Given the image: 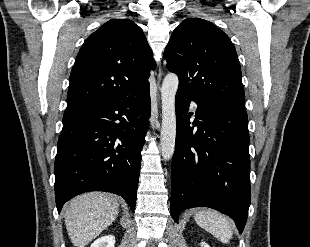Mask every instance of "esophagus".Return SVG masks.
I'll list each match as a JSON object with an SVG mask.
<instances>
[{"label": "esophagus", "mask_w": 310, "mask_h": 247, "mask_svg": "<svg viewBox=\"0 0 310 247\" xmlns=\"http://www.w3.org/2000/svg\"><path fill=\"white\" fill-rule=\"evenodd\" d=\"M161 69H159V75H158V86H159V83H160V79H161Z\"/></svg>", "instance_id": "1"}]
</instances>
